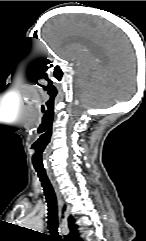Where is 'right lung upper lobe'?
<instances>
[{
    "label": "right lung upper lobe",
    "mask_w": 146,
    "mask_h": 241,
    "mask_svg": "<svg viewBox=\"0 0 146 241\" xmlns=\"http://www.w3.org/2000/svg\"><path fill=\"white\" fill-rule=\"evenodd\" d=\"M68 225L70 229V233L66 236H64L63 241H81L80 238H78L77 235V225L74 224V219L72 216L68 218Z\"/></svg>",
    "instance_id": "obj_1"
}]
</instances>
